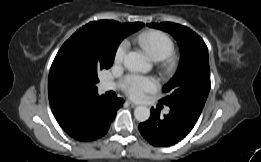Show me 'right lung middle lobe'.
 I'll return each mask as SVG.
<instances>
[{
    "label": "right lung middle lobe",
    "mask_w": 261,
    "mask_h": 162,
    "mask_svg": "<svg viewBox=\"0 0 261 162\" xmlns=\"http://www.w3.org/2000/svg\"><path fill=\"white\" fill-rule=\"evenodd\" d=\"M141 27L110 22L90 23L77 30L52 63L49 94L56 98H72L97 91L98 71L112 66L120 42Z\"/></svg>",
    "instance_id": "dd1d6c3e"
}]
</instances>
